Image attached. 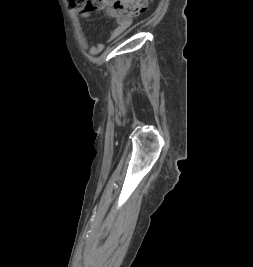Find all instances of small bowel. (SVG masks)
<instances>
[{
	"label": "small bowel",
	"instance_id": "small-bowel-1",
	"mask_svg": "<svg viewBox=\"0 0 253 267\" xmlns=\"http://www.w3.org/2000/svg\"><path fill=\"white\" fill-rule=\"evenodd\" d=\"M107 15L114 22V26L109 30L106 36V42H111L117 39L122 33H124L129 28L132 22V18L131 16L118 13L113 8L107 9ZM84 16H87V15L85 14ZM73 22H74V27L76 30L78 42L80 43V45L84 49L88 50L90 54L92 55H97L100 52H102L103 49L105 48V43L98 42V43L88 44V41L81 28L79 19L75 14H73Z\"/></svg>",
	"mask_w": 253,
	"mask_h": 267
}]
</instances>
